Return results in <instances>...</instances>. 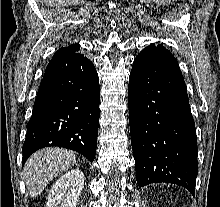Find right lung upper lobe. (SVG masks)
<instances>
[{
    "label": "right lung upper lobe",
    "instance_id": "1",
    "mask_svg": "<svg viewBox=\"0 0 220 207\" xmlns=\"http://www.w3.org/2000/svg\"><path fill=\"white\" fill-rule=\"evenodd\" d=\"M79 47L80 46L78 44H72V45H69L68 47H62L54 54L53 57H61L64 55L74 53L75 51L79 50Z\"/></svg>",
    "mask_w": 220,
    "mask_h": 207
}]
</instances>
